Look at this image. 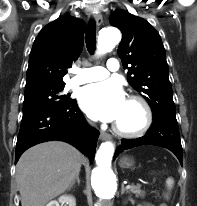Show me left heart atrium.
Listing matches in <instances>:
<instances>
[{"mask_svg": "<svg viewBox=\"0 0 197 206\" xmlns=\"http://www.w3.org/2000/svg\"><path fill=\"white\" fill-rule=\"evenodd\" d=\"M79 103L90 118L117 122L123 114L126 98L119 82L110 80L84 87Z\"/></svg>", "mask_w": 197, "mask_h": 206, "instance_id": "obj_1", "label": "left heart atrium"}]
</instances>
